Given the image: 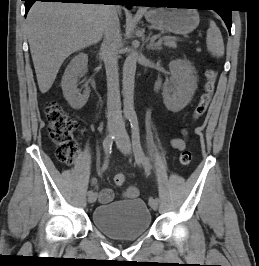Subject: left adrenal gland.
Here are the masks:
<instances>
[{"label": "left adrenal gland", "mask_w": 259, "mask_h": 266, "mask_svg": "<svg viewBox=\"0 0 259 266\" xmlns=\"http://www.w3.org/2000/svg\"><path fill=\"white\" fill-rule=\"evenodd\" d=\"M150 40V35L147 38V41ZM147 49H151V50H160L161 49V42L159 41L158 43H154L153 41H150L147 45H146Z\"/></svg>", "instance_id": "obj_1"}]
</instances>
